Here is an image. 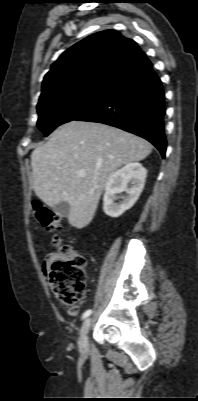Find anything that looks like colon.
Segmentation results:
<instances>
[{"label": "colon", "mask_w": 198, "mask_h": 401, "mask_svg": "<svg viewBox=\"0 0 198 401\" xmlns=\"http://www.w3.org/2000/svg\"><path fill=\"white\" fill-rule=\"evenodd\" d=\"M33 216L49 232L61 228V215L38 201L33 203ZM49 244L62 256L51 267L50 286L55 296L62 303L72 306L71 313L76 314L75 306L84 300L86 293V260L82 255L73 254L71 247L64 244L57 235Z\"/></svg>", "instance_id": "5ec220e1"}]
</instances>
